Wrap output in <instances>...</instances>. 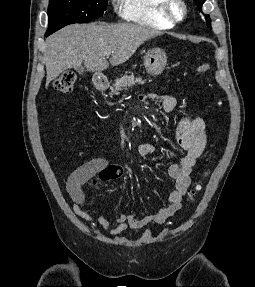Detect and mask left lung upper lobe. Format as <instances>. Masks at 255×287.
<instances>
[{
    "instance_id": "left-lung-upper-lobe-1",
    "label": "left lung upper lobe",
    "mask_w": 255,
    "mask_h": 287,
    "mask_svg": "<svg viewBox=\"0 0 255 287\" xmlns=\"http://www.w3.org/2000/svg\"><path fill=\"white\" fill-rule=\"evenodd\" d=\"M197 7H198V10L201 11L202 9V5L203 3L205 2V0H194ZM205 16V20H206V25L211 28V20H210V17L209 15H204ZM212 29V28H211Z\"/></svg>"
}]
</instances>
